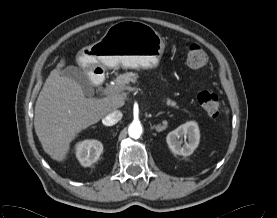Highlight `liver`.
I'll list each match as a JSON object with an SVG mask.
<instances>
[{
  "label": "liver",
  "mask_w": 277,
  "mask_h": 218,
  "mask_svg": "<svg viewBox=\"0 0 277 218\" xmlns=\"http://www.w3.org/2000/svg\"><path fill=\"white\" fill-rule=\"evenodd\" d=\"M62 59L52 70L37 98L34 127L43 150L54 160L63 161L76 135L122 107L125 97L110 94L87 98L82 87L62 75Z\"/></svg>",
  "instance_id": "1"
}]
</instances>
